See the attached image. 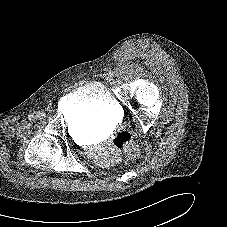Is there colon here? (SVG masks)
Listing matches in <instances>:
<instances>
[{
    "instance_id": "1",
    "label": "colon",
    "mask_w": 227,
    "mask_h": 227,
    "mask_svg": "<svg viewBox=\"0 0 227 227\" xmlns=\"http://www.w3.org/2000/svg\"><path fill=\"white\" fill-rule=\"evenodd\" d=\"M113 145L116 151H124L132 159L138 155V146L132 141L130 134L127 132L118 133L113 140Z\"/></svg>"
}]
</instances>
